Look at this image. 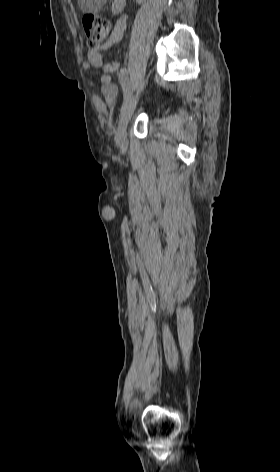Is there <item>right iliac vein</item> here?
Segmentation results:
<instances>
[{"instance_id":"1","label":"right iliac vein","mask_w":280,"mask_h":472,"mask_svg":"<svg viewBox=\"0 0 280 472\" xmlns=\"http://www.w3.org/2000/svg\"><path fill=\"white\" fill-rule=\"evenodd\" d=\"M138 101V97H133L128 104L121 111L117 132H116V141L120 148L125 151L128 146L127 140V126L134 113Z\"/></svg>"}]
</instances>
